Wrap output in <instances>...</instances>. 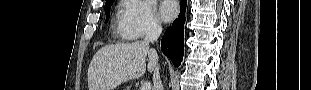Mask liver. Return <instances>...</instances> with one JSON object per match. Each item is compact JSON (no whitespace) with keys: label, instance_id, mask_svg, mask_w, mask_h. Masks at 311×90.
Listing matches in <instances>:
<instances>
[{"label":"liver","instance_id":"obj_1","mask_svg":"<svg viewBox=\"0 0 311 90\" xmlns=\"http://www.w3.org/2000/svg\"><path fill=\"white\" fill-rule=\"evenodd\" d=\"M146 60L147 70L152 72L158 65V55L145 41L102 47L89 65V90H114L128 80L140 78L145 74Z\"/></svg>","mask_w":311,"mask_h":90}]
</instances>
